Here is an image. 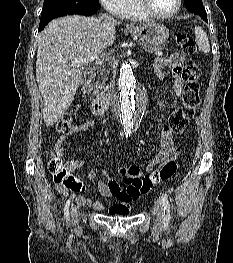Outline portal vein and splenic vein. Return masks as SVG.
<instances>
[{"label": "portal vein and splenic vein", "instance_id": "obj_1", "mask_svg": "<svg viewBox=\"0 0 233 263\" xmlns=\"http://www.w3.org/2000/svg\"><path fill=\"white\" fill-rule=\"evenodd\" d=\"M163 53L161 51L155 52V55L161 56ZM103 56L99 57L98 55H92V56H86V57H81L77 58L74 61H72V65L74 66H83L84 64L91 62V61H98L100 62Z\"/></svg>", "mask_w": 233, "mask_h": 263}]
</instances>
